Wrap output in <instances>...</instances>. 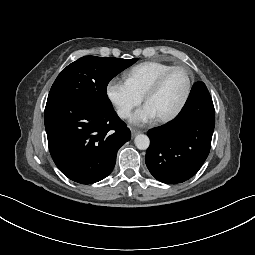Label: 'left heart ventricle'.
<instances>
[{"label":"left heart ventricle","mask_w":255,"mask_h":255,"mask_svg":"<svg viewBox=\"0 0 255 255\" xmlns=\"http://www.w3.org/2000/svg\"><path fill=\"white\" fill-rule=\"evenodd\" d=\"M187 88V76L182 70L172 72L161 89L149 98L147 104L153 109L157 117L172 112L182 100Z\"/></svg>","instance_id":"1"}]
</instances>
